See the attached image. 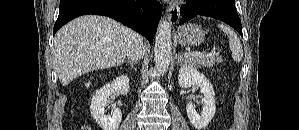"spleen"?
<instances>
[{
	"mask_svg": "<svg viewBox=\"0 0 299 130\" xmlns=\"http://www.w3.org/2000/svg\"><path fill=\"white\" fill-rule=\"evenodd\" d=\"M220 30L227 34L229 38V46L232 51V58L236 62H240L243 58V48L237 34L224 24H218Z\"/></svg>",
	"mask_w": 299,
	"mask_h": 130,
	"instance_id": "3e777b00",
	"label": "spleen"
}]
</instances>
